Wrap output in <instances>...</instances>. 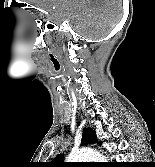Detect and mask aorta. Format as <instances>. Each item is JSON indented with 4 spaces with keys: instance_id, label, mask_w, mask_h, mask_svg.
Returning <instances> with one entry per match:
<instances>
[{
    "instance_id": "aorta-1",
    "label": "aorta",
    "mask_w": 155,
    "mask_h": 167,
    "mask_svg": "<svg viewBox=\"0 0 155 167\" xmlns=\"http://www.w3.org/2000/svg\"><path fill=\"white\" fill-rule=\"evenodd\" d=\"M104 160L106 159L102 154L90 148L72 151L67 158L68 162H105Z\"/></svg>"
}]
</instances>
